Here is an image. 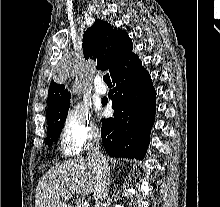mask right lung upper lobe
Here are the masks:
<instances>
[{
    "label": "right lung upper lobe",
    "mask_w": 220,
    "mask_h": 207,
    "mask_svg": "<svg viewBox=\"0 0 220 207\" xmlns=\"http://www.w3.org/2000/svg\"><path fill=\"white\" fill-rule=\"evenodd\" d=\"M82 47L85 59H94L97 61V69L109 70L110 75L123 59L133 53V43L126 31L114 28L101 19H97L84 32ZM69 99L70 94L64 85L52 81L48 91L46 117L56 113Z\"/></svg>",
    "instance_id": "cb5924a9"
}]
</instances>
